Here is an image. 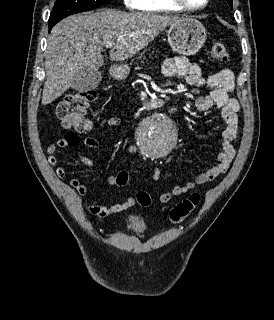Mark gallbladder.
Masks as SVG:
<instances>
[{
	"mask_svg": "<svg viewBox=\"0 0 274 320\" xmlns=\"http://www.w3.org/2000/svg\"><path fill=\"white\" fill-rule=\"evenodd\" d=\"M102 80L101 68H78L71 84L72 90H95Z\"/></svg>",
	"mask_w": 274,
	"mask_h": 320,
	"instance_id": "obj_1",
	"label": "gallbladder"
}]
</instances>
